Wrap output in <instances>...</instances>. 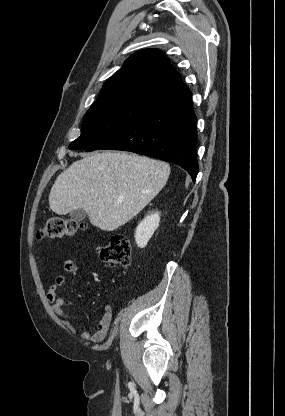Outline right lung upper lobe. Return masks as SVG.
I'll return each mask as SVG.
<instances>
[{
    "instance_id": "1",
    "label": "right lung upper lobe",
    "mask_w": 285,
    "mask_h": 416,
    "mask_svg": "<svg viewBox=\"0 0 285 416\" xmlns=\"http://www.w3.org/2000/svg\"><path fill=\"white\" fill-rule=\"evenodd\" d=\"M95 103L122 96H138L162 108L191 99V91L158 49L132 54L105 83Z\"/></svg>"
}]
</instances>
